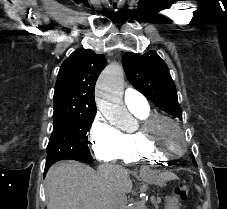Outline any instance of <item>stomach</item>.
Wrapping results in <instances>:
<instances>
[{"label": "stomach", "instance_id": "stomach-1", "mask_svg": "<svg viewBox=\"0 0 227 209\" xmlns=\"http://www.w3.org/2000/svg\"><path fill=\"white\" fill-rule=\"evenodd\" d=\"M145 180L159 186L166 185L161 177L155 173L145 176ZM166 209H179V202L175 196H168L166 199Z\"/></svg>", "mask_w": 227, "mask_h": 209}]
</instances>
